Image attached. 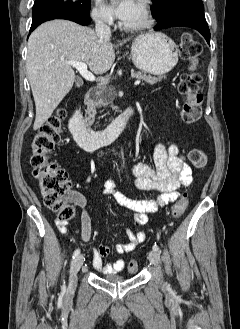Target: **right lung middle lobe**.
<instances>
[{"label":"right lung middle lobe","instance_id":"right-lung-middle-lobe-1","mask_svg":"<svg viewBox=\"0 0 240 329\" xmlns=\"http://www.w3.org/2000/svg\"><path fill=\"white\" fill-rule=\"evenodd\" d=\"M58 9L90 15V0H35L33 11Z\"/></svg>","mask_w":240,"mask_h":329}]
</instances>
